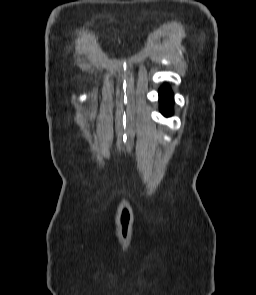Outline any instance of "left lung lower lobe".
<instances>
[{"mask_svg":"<svg viewBox=\"0 0 256 295\" xmlns=\"http://www.w3.org/2000/svg\"><path fill=\"white\" fill-rule=\"evenodd\" d=\"M160 110L163 115L171 116L173 113V93L169 86L164 85L159 90Z\"/></svg>","mask_w":256,"mask_h":295,"instance_id":"1","label":"left lung lower lobe"}]
</instances>
